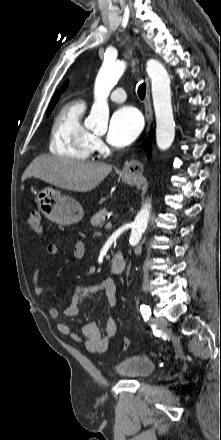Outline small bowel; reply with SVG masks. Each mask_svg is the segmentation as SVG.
Returning a JSON list of instances; mask_svg holds the SVG:
<instances>
[{
    "label": "small bowel",
    "mask_w": 221,
    "mask_h": 440,
    "mask_svg": "<svg viewBox=\"0 0 221 440\" xmlns=\"http://www.w3.org/2000/svg\"><path fill=\"white\" fill-rule=\"evenodd\" d=\"M47 252L49 256L57 257L59 254L58 246L55 243H50L47 246ZM84 255L85 245L82 241H77L73 250L74 259L80 261L84 258ZM42 277V270L37 267L33 272L34 291L37 294L43 291ZM97 294H104L109 307L114 308L117 304V287L114 278L108 276L95 284L76 286L73 296L64 310V315L68 318L76 316L83 305ZM49 315L53 319H58L59 310L52 307L49 309ZM56 327L61 334L69 336L74 342L83 345L88 351L95 353L105 352L117 332V325L113 316L108 317L106 321L104 335H101L98 327L93 322H88L83 326L82 335L75 333L71 327L63 321H58Z\"/></svg>",
    "instance_id": "small-bowel-1"
}]
</instances>
